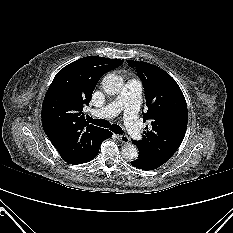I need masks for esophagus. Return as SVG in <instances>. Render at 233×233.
<instances>
[{
  "label": "esophagus",
  "mask_w": 233,
  "mask_h": 233,
  "mask_svg": "<svg viewBox=\"0 0 233 233\" xmlns=\"http://www.w3.org/2000/svg\"><path fill=\"white\" fill-rule=\"evenodd\" d=\"M118 140L122 143H129L130 139L127 135H118Z\"/></svg>",
  "instance_id": "obj_1"
}]
</instances>
